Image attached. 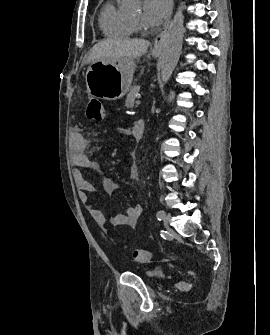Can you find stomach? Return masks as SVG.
Here are the masks:
<instances>
[{"label": "stomach", "instance_id": "0dacf381", "mask_svg": "<svg viewBox=\"0 0 270 335\" xmlns=\"http://www.w3.org/2000/svg\"><path fill=\"white\" fill-rule=\"evenodd\" d=\"M160 54L161 48H152L153 58H157ZM135 68L132 58L92 62L85 74L89 96L98 100H120L131 88Z\"/></svg>", "mask_w": 270, "mask_h": 335}]
</instances>
